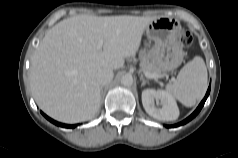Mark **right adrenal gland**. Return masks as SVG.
I'll list each match as a JSON object with an SVG mask.
<instances>
[{
    "label": "right adrenal gland",
    "instance_id": "obj_1",
    "mask_svg": "<svg viewBox=\"0 0 238 158\" xmlns=\"http://www.w3.org/2000/svg\"><path fill=\"white\" fill-rule=\"evenodd\" d=\"M101 93H103V86L101 87Z\"/></svg>",
    "mask_w": 238,
    "mask_h": 158
}]
</instances>
